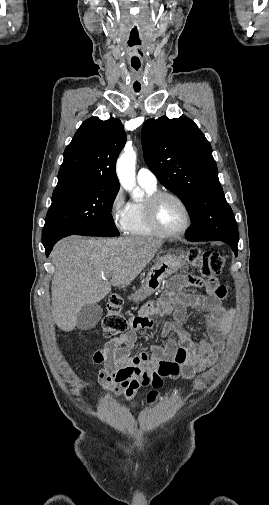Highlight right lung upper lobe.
Instances as JSON below:
<instances>
[{
  "instance_id": "cb5924a9",
  "label": "right lung upper lobe",
  "mask_w": 269,
  "mask_h": 505,
  "mask_svg": "<svg viewBox=\"0 0 269 505\" xmlns=\"http://www.w3.org/2000/svg\"><path fill=\"white\" fill-rule=\"evenodd\" d=\"M125 142L126 134L119 119H87L64 151L56 188L68 185L119 188L115 163Z\"/></svg>"
}]
</instances>
